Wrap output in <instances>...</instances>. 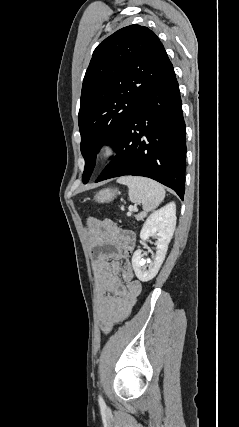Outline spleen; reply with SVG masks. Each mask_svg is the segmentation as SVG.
<instances>
[{
    "label": "spleen",
    "mask_w": 239,
    "mask_h": 427,
    "mask_svg": "<svg viewBox=\"0 0 239 427\" xmlns=\"http://www.w3.org/2000/svg\"><path fill=\"white\" fill-rule=\"evenodd\" d=\"M117 182L128 187L130 201L142 204L143 212L137 215L138 219L146 217L148 212L157 208L164 200L165 190L161 184L154 180L124 176L119 178Z\"/></svg>",
    "instance_id": "obj_1"
}]
</instances>
